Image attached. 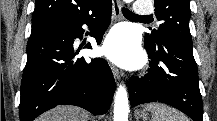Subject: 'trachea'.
I'll use <instances>...</instances> for the list:
<instances>
[{
    "instance_id": "1",
    "label": "trachea",
    "mask_w": 217,
    "mask_h": 121,
    "mask_svg": "<svg viewBox=\"0 0 217 121\" xmlns=\"http://www.w3.org/2000/svg\"><path fill=\"white\" fill-rule=\"evenodd\" d=\"M122 12L125 16L128 17H140L139 15H136L135 13H133L132 11L128 10L127 8H123Z\"/></svg>"
}]
</instances>
